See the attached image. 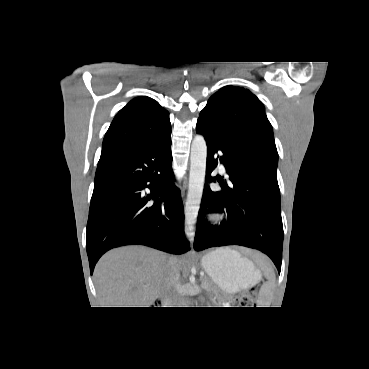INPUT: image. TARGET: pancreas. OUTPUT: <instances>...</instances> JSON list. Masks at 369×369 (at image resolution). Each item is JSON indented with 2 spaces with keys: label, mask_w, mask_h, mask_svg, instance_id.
<instances>
[{
  "label": "pancreas",
  "mask_w": 369,
  "mask_h": 369,
  "mask_svg": "<svg viewBox=\"0 0 369 369\" xmlns=\"http://www.w3.org/2000/svg\"><path fill=\"white\" fill-rule=\"evenodd\" d=\"M202 288L206 291H213V292L217 291V288L208 279H203Z\"/></svg>",
  "instance_id": "1"
}]
</instances>
